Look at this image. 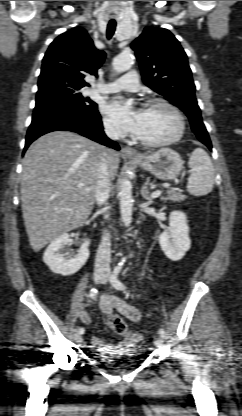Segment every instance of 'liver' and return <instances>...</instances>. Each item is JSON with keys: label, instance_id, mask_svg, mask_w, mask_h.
Here are the masks:
<instances>
[{"label": "liver", "instance_id": "6515ba94", "mask_svg": "<svg viewBox=\"0 0 242 416\" xmlns=\"http://www.w3.org/2000/svg\"><path fill=\"white\" fill-rule=\"evenodd\" d=\"M104 151L102 145L69 131L47 133L28 148L23 160L21 201L35 252L88 219ZM119 162V154L109 150L111 180L117 175Z\"/></svg>", "mask_w": 242, "mask_h": 416}]
</instances>
